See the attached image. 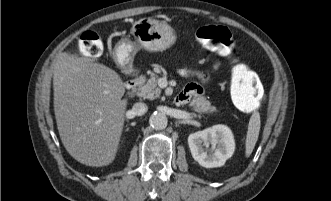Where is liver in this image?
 Segmentation results:
<instances>
[{
  "mask_svg": "<svg viewBox=\"0 0 331 201\" xmlns=\"http://www.w3.org/2000/svg\"><path fill=\"white\" fill-rule=\"evenodd\" d=\"M53 66L55 118L65 149L87 166L111 164L127 108L122 79L103 64L66 52Z\"/></svg>",
  "mask_w": 331,
  "mask_h": 201,
  "instance_id": "6515ba94",
  "label": "liver"
}]
</instances>
